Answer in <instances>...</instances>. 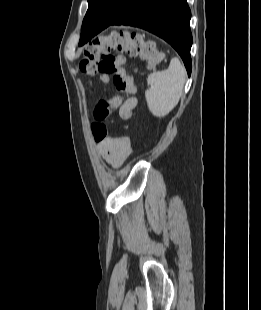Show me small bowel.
Masks as SVG:
<instances>
[{"label":"small bowel","instance_id":"obj_1","mask_svg":"<svg viewBox=\"0 0 261 310\" xmlns=\"http://www.w3.org/2000/svg\"><path fill=\"white\" fill-rule=\"evenodd\" d=\"M137 104V99L132 97L126 100L119 112L123 118H129ZM98 148L103 158L114 167H119L132 152L131 140L128 137L107 136L97 140Z\"/></svg>","mask_w":261,"mask_h":310}]
</instances>
